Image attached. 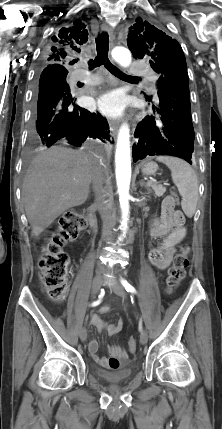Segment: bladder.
<instances>
[{
  "mask_svg": "<svg viewBox=\"0 0 222 429\" xmlns=\"http://www.w3.org/2000/svg\"><path fill=\"white\" fill-rule=\"evenodd\" d=\"M136 367L135 364H131L128 367L121 368L116 371H107L102 368H95L94 374L109 383H122L129 380L133 374L134 368Z\"/></svg>",
  "mask_w": 222,
  "mask_h": 429,
  "instance_id": "1",
  "label": "bladder"
}]
</instances>
